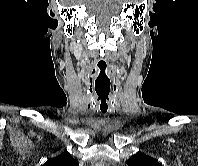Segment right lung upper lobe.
Listing matches in <instances>:
<instances>
[{
    "mask_svg": "<svg viewBox=\"0 0 198 166\" xmlns=\"http://www.w3.org/2000/svg\"><path fill=\"white\" fill-rule=\"evenodd\" d=\"M43 166H78V163L68 153H62L49 159Z\"/></svg>",
    "mask_w": 198,
    "mask_h": 166,
    "instance_id": "obj_1",
    "label": "right lung upper lobe"
}]
</instances>
